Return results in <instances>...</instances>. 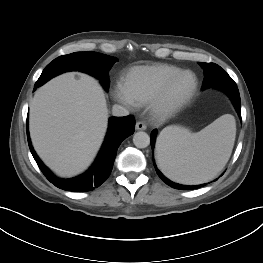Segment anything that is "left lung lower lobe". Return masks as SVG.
Listing matches in <instances>:
<instances>
[{"instance_id": "left-lung-lower-lobe-1", "label": "left lung lower lobe", "mask_w": 263, "mask_h": 263, "mask_svg": "<svg viewBox=\"0 0 263 263\" xmlns=\"http://www.w3.org/2000/svg\"><path fill=\"white\" fill-rule=\"evenodd\" d=\"M200 65L202 66V68L205 71V79H204V85H203V89L209 88V87H216L221 89L222 91H224L231 99L239 117L241 118V101H240V95H239V91L237 88L236 84H222L219 86H215L214 82H215V78H217L218 72L222 69L220 66L214 64V63H200ZM156 131L157 130H153L150 136V140H151V146L152 149L154 148V144H155V139H156ZM155 170L158 174V176L169 186L175 188V189H180V190H192V189H197L203 185H196V186H185V185H180L177 183H174L170 180H168L160 171L159 169L156 167L155 165Z\"/></svg>"}]
</instances>
